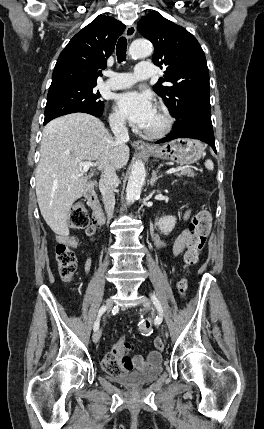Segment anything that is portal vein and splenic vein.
I'll list each match as a JSON object with an SVG mask.
<instances>
[{
  "label": "portal vein and splenic vein",
  "mask_w": 264,
  "mask_h": 429,
  "mask_svg": "<svg viewBox=\"0 0 264 429\" xmlns=\"http://www.w3.org/2000/svg\"><path fill=\"white\" fill-rule=\"evenodd\" d=\"M79 166L83 169V171H88L91 167H95L96 165L93 162L85 161V162H79ZM179 169L178 168H171L166 171V174H173L176 173Z\"/></svg>",
  "instance_id": "1"
}]
</instances>
